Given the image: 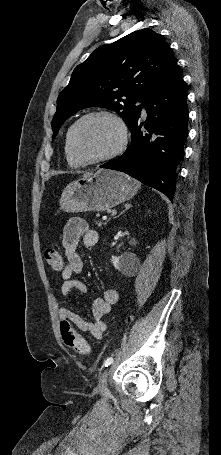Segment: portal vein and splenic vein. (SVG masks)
Masks as SVG:
<instances>
[{"label":"portal vein and splenic vein","mask_w":221,"mask_h":455,"mask_svg":"<svg viewBox=\"0 0 221 455\" xmlns=\"http://www.w3.org/2000/svg\"><path fill=\"white\" fill-rule=\"evenodd\" d=\"M102 219H103V220H107V217H106V216H103Z\"/></svg>","instance_id":"1"}]
</instances>
